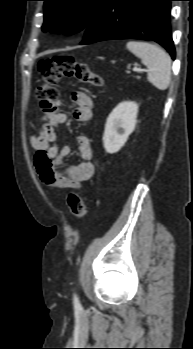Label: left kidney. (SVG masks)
Segmentation results:
<instances>
[{"instance_id":"5707ae66","label":"left kidney","mask_w":193,"mask_h":349,"mask_svg":"<svg viewBox=\"0 0 193 349\" xmlns=\"http://www.w3.org/2000/svg\"><path fill=\"white\" fill-rule=\"evenodd\" d=\"M138 105L133 101L119 103L107 118L103 144L107 153L118 152L128 140L129 135L134 131Z\"/></svg>"}]
</instances>
